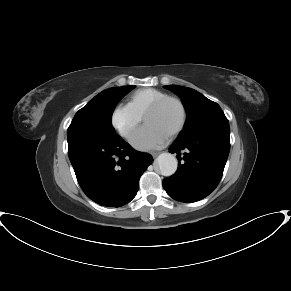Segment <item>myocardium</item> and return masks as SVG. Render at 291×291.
<instances>
[{"instance_id":"f54148a6","label":"myocardium","mask_w":291,"mask_h":291,"mask_svg":"<svg viewBox=\"0 0 291 291\" xmlns=\"http://www.w3.org/2000/svg\"><path fill=\"white\" fill-rule=\"evenodd\" d=\"M169 102L176 103L177 106L179 107V110L181 113V118H180L178 125L169 134L170 137H174L183 131V129L186 126L187 118H188L187 109H186V107L181 99H179L177 97H173V96L163 97V98L153 102L150 106H148L147 109L145 110L142 118H143V121L145 122V119L149 114L160 110L165 104H167Z\"/></svg>"}]
</instances>
